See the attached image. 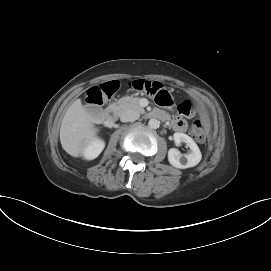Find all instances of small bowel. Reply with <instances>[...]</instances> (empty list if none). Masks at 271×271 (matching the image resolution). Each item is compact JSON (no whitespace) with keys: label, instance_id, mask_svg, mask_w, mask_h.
I'll return each instance as SVG.
<instances>
[{"label":"small bowel","instance_id":"c3829d8e","mask_svg":"<svg viewBox=\"0 0 271 271\" xmlns=\"http://www.w3.org/2000/svg\"><path fill=\"white\" fill-rule=\"evenodd\" d=\"M157 112H159V113L163 114L165 117H167V115L164 112H162V111H157ZM172 127L174 130H176L178 132H184L187 129V124L184 119L179 118V117H175L172 120Z\"/></svg>","mask_w":271,"mask_h":271}]
</instances>
